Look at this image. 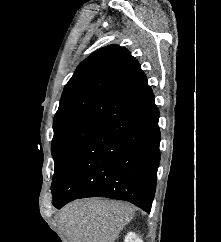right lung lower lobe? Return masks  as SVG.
<instances>
[{
	"mask_svg": "<svg viewBox=\"0 0 221 242\" xmlns=\"http://www.w3.org/2000/svg\"><path fill=\"white\" fill-rule=\"evenodd\" d=\"M158 119L150 89L101 122L52 189L54 207L60 209L77 198L107 197L150 212L160 163Z\"/></svg>",
	"mask_w": 221,
	"mask_h": 242,
	"instance_id": "obj_1",
	"label": "right lung lower lobe"
}]
</instances>
